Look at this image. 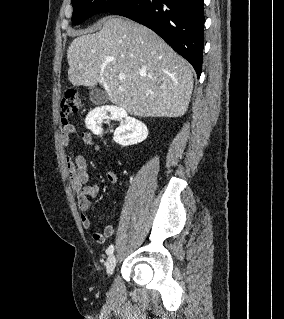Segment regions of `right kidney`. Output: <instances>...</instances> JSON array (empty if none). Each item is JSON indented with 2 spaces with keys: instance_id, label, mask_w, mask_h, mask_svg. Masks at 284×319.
<instances>
[{
  "instance_id": "obj_1",
  "label": "right kidney",
  "mask_w": 284,
  "mask_h": 319,
  "mask_svg": "<svg viewBox=\"0 0 284 319\" xmlns=\"http://www.w3.org/2000/svg\"><path fill=\"white\" fill-rule=\"evenodd\" d=\"M110 112L112 116L124 118L114 132V141L122 146H131L144 141L148 136V129L141 121L128 116L127 112L120 107H101L90 111L85 119V124L93 133H99L102 121L106 114Z\"/></svg>"
}]
</instances>
